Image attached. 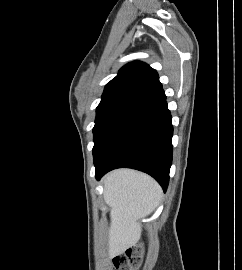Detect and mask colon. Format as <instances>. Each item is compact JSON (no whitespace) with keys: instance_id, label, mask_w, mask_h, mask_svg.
<instances>
[{"instance_id":"colon-1","label":"colon","mask_w":242,"mask_h":270,"mask_svg":"<svg viewBox=\"0 0 242 270\" xmlns=\"http://www.w3.org/2000/svg\"><path fill=\"white\" fill-rule=\"evenodd\" d=\"M140 263V249H128L124 256H116L113 259V265L116 270H138Z\"/></svg>"}]
</instances>
